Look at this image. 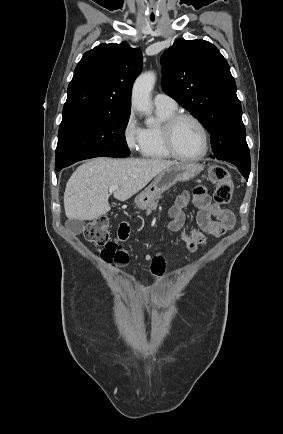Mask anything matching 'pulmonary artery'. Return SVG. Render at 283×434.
I'll list each match as a JSON object with an SVG mask.
<instances>
[{"label": "pulmonary artery", "instance_id": "1", "mask_svg": "<svg viewBox=\"0 0 283 434\" xmlns=\"http://www.w3.org/2000/svg\"><path fill=\"white\" fill-rule=\"evenodd\" d=\"M154 105L157 109L174 110L177 108L176 101L164 93H159L154 97Z\"/></svg>", "mask_w": 283, "mask_h": 434}]
</instances>
